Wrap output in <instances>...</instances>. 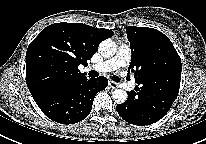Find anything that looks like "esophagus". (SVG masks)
I'll return each instance as SVG.
<instances>
[{
	"label": "esophagus",
	"mask_w": 206,
	"mask_h": 144,
	"mask_svg": "<svg viewBox=\"0 0 206 144\" xmlns=\"http://www.w3.org/2000/svg\"><path fill=\"white\" fill-rule=\"evenodd\" d=\"M108 85H109V87L112 88V89H115V88L118 87V84L115 83V82H113V81H109Z\"/></svg>",
	"instance_id": "34e87169"
}]
</instances>
